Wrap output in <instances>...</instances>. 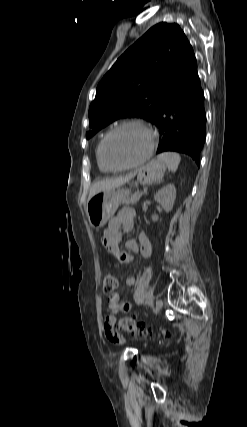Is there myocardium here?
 <instances>
[{
    "label": "myocardium",
    "mask_w": 247,
    "mask_h": 427,
    "mask_svg": "<svg viewBox=\"0 0 247 427\" xmlns=\"http://www.w3.org/2000/svg\"><path fill=\"white\" fill-rule=\"evenodd\" d=\"M129 126H134V127H139L141 129H143L144 131H146L148 133V135L150 136V145L148 147L147 152L145 153V155L143 157H141L139 160L127 164V165H123V166H114L112 165L106 155V146H107V142L110 139V137L116 133L118 130L125 128V127H129ZM157 141H158V134L157 132L148 124L142 122V121H138V120H126L123 121L117 125H115L113 128H111L103 137L102 142H101V149H100V154H101V159L104 163V165L110 170V171H114V172H118V171H124L127 169H131L137 166H140L142 164H144L145 162H147L150 157L152 156L155 147L157 145Z\"/></svg>",
    "instance_id": "myocardium-1"
}]
</instances>
